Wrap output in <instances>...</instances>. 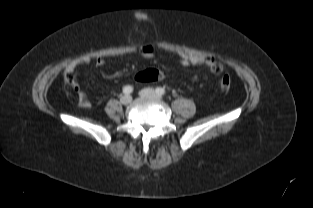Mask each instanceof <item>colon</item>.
Here are the masks:
<instances>
[{
    "label": "colon",
    "mask_w": 313,
    "mask_h": 208,
    "mask_svg": "<svg viewBox=\"0 0 313 208\" xmlns=\"http://www.w3.org/2000/svg\"><path fill=\"white\" fill-rule=\"evenodd\" d=\"M210 70L212 71V73L218 75L222 73V66L217 60H215L211 63ZM165 77H166L165 73L152 68L139 72L135 76V79L140 83H148L161 80ZM66 81L73 87L77 86V80L73 72H69L66 74ZM230 86L231 79L229 75L227 74L222 75L220 78V89L222 91H228L230 89Z\"/></svg>",
    "instance_id": "5ec220e1"
}]
</instances>
